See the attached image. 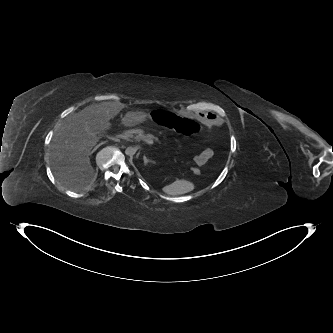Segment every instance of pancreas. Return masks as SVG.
<instances>
[{"instance_id":"cf45deb5","label":"pancreas","mask_w":333,"mask_h":333,"mask_svg":"<svg viewBox=\"0 0 333 333\" xmlns=\"http://www.w3.org/2000/svg\"><path fill=\"white\" fill-rule=\"evenodd\" d=\"M128 137H133L137 142L139 141H147V140H152V141H158L156 137H154L150 133H145L144 131L140 129H136L134 131L128 132Z\"/></svg>"}]
</instances>
